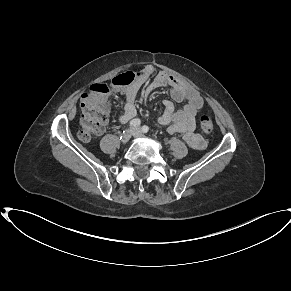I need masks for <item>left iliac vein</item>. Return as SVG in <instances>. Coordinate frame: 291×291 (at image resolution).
I'll list each match as a JSON object with an SVG mask.
<instances>
[{"instance_id": "obj_1", "label": "left iliac vein", "mask_w": 291, "mask_h": 291, "mask_svg": "<svg viewBox=\"0 0 291 291\" xmlns=\"http://www.w3.org/2000/svg\"><path fill=\"white\" fill-rule=\"evenodd\" d=\"M134 137H144V135L141 133L140 128L134 129Z\"/></svg>"}]
</instances>
